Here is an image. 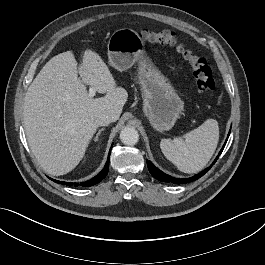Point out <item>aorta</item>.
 Returning <instances> with one entry per match:
<instances>
[{
    "label": "aorta",
    "instance_id": "1",
    "mask_svg": "<svg viewBox=\"0 0 265 265\" xmlns=\"http://www.w3.org/2000/svg\"><path fill=\"white\" fill-rule=\"evenodd\" d=\"M120 139L125 145H135L139 140L138 131L134 127H125L120 132Z\"/></svg>",
    "mask_w": 265,
    "mask_h": 265
}]
</instances>
